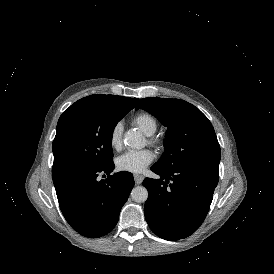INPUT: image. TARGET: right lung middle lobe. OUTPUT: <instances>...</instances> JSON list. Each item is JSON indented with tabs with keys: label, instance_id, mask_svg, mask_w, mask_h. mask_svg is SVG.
<instances>
[{
	"label": "right lung middle lobe",
	"instance_id": "dd1d6c3e",
	"mask_svg": "<svg viewBox=\"0 0 274 274\" xmlns=\"http://www.w3.org/2000/svg\"><path fill=\"white\" fill-rule=\"evenodd\" d=\"M133 108L126 102H106L67 109L57 124L52 172L111 165L114 128Z\"/></svg>",
	"mask_w": 274,
	"mask_h": 274
}]
</instances>
